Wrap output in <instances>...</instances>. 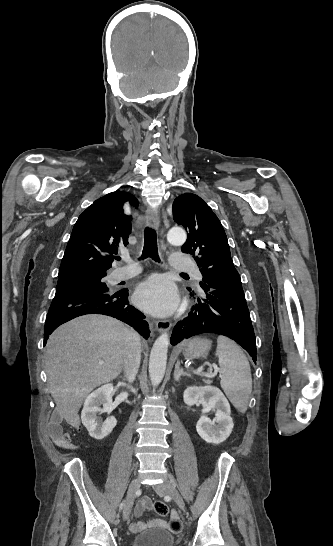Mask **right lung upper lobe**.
I'll use <instances>...</instances> for the list:
<instances>
[{
  "label": "right lung upper lobe",
  "mask_w": 333,
  "mask_h": 546,
  "mask_svg": "<svg viewBox=\"0 0 333 546\" xmlns=\"http://www.w3.org/2000/svg\"><path fill=\"white\" fill-rule=\"evenodd\" d=\"M138 206L134 196L115 191L90 205L78 218L68 241L59 280L106 274L112 266V254L128 244L131 217L124 214V201Z\"/></svg>",
  "instance_id": "right-lung-upper-lobe-1"
}]
</instances>
